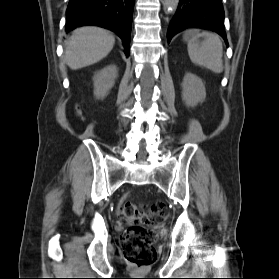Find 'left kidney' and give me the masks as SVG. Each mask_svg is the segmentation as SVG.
Returning a JSON list of instances; mask_svg holds the SVG:
<instances>
[{
    "label": "left kidney",
    "instance_id": "1",
    "mask_svg": "<svg viewBox=\"0 0 279 279\" xmlns=\"http://www.w3.org/2000/svg\"><path fill=\"white\" fill-rule=\"evenodd\" d=\"M182 99L188 107H194L206 98V90L202 80L192 74L186 73L182 83Z\"/></svg>",
    "mask_w": 279,
    "mask_h": 279
}]
</instances>
